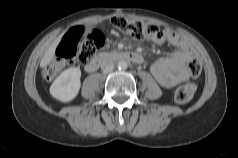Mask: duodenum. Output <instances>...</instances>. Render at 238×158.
<instances>
[{
	"label": "duodenum",
	"instance_id": "410a0bca",
	"mask_svg": "<svg viewBox=\"0 0 238 158\" xmlns=\"http://www.w3.org/2000/svg\"><path fill=\"white\" fill-rule=\"evenodd\" d=\"M114 61H129L134 64H142L143 57L134 52H111V53H102L92 59L86 65V71L93 72L96 71L100 66Z\"/></svg>",
	"mask_w": 238,
	"mask_h": 158
}]
</instances>
